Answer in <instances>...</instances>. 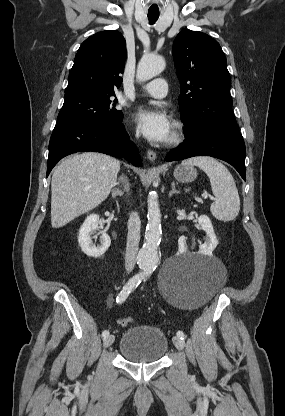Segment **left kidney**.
I'll return each mask as SVG.
<instances>
[{"label": "left kidney", "instance_id": "obj_1", "mask_svg": "<svg viewBox=\"0 0 285 416\" xmlns=\"http://www.w3.org/2000/svg\"><path fill=\"white\" fill-rule=\"evenodd\" d=\"M198 224L201 226L202 230L206 232L207 236L205 244H201V246H199V254H205V256H209V254H212L213 250H215L218 244L216 234H214L213 226L208 216H200V218H198ZM178 246L179 250H183V252L188 250L185 236H180L178 240Z\"/></svg>", "mask_w": 285, "mask_h": 416}]
</instances>
